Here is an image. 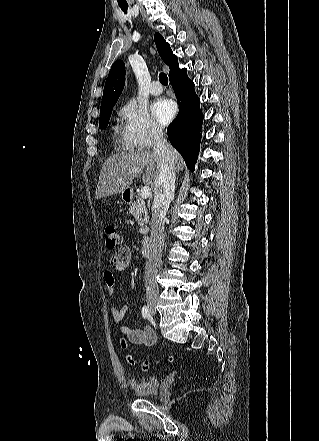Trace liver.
Masks as SVG:
<instances>
[{"label":"liver","mask_w":319,"mask_h":441,"mask_svg":"<svg viewBox=\"0 0 319 441\" xmlns=\"http://www.w3.org/2000/svg\"><path fill=\"white\" fill-rule=\"evenodd\" d=\"M174 150V149H173ZM175 170H183L185 163L180 154L174 150ZM142 181L145 186L155 189L159 176L157 155L149 150L132 153H120L109 157L102 165L97 184L95 198L111 196L129 188L133 180L143 173Z\"/></svg>","instance_id":"1"}]
</instances>
